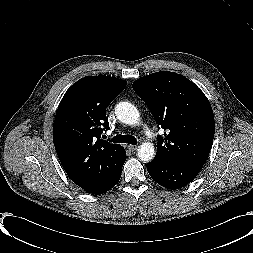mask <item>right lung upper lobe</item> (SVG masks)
I'll return each mask as SVG.
<instances>
[{
  "mask_svg": "<svg viewBox=\"0 0 253 253\" xmlns=\"http://www.w3.org/2000/svg\"><path fill=\"white\" fill-rule=\"evenodd\" d=\"M126 84L106 75L84 77L67 90L56 112L57 155L70 179L87 192L102 188L125 161L122 146L100 137L101 126L109 128L106 108Z\"/></svg>",
  "mask_w": 253,
  "mask_h": 253,
  "instance_id": "1",
  "label": "right lung upper lobe"
}]
</instances>
